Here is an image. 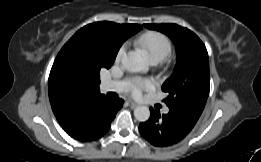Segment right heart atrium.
Segmentation results:
<instances>
[{
  "mask_svg": "<svg viewBox=\"0 0 261 162\" xmlns=\"http://www.w3.org/2000/svg\"><path fill=\"white\" fill-rule=\"evenodd\" d=\"M125 51H126V46H125V45L121 46L120 49H119L118 52H117L116 59H117V60H121L122 57H123L124 54H125Z\"/></svg>",
  "mask_w": 261,
  "mask_h": 162,
  "instance_id": "right-heart-atrium-1",
  "label": "right heart atrium"
}]
</instances>
